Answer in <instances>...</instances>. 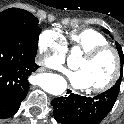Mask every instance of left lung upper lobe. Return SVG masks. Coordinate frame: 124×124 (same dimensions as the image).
<instances>
[{
  "label": "left lung upper lobe",
  "mask_w": 124,
  "mask_h": 124,
  "mask_svg": "<svg viewBox=\"0 0 124 124\" xmlns=\"http://www.w3.org/2000/svg\"><path fill=\"white\" fill-rule=\"evenodd\" d=\"M104 32L105 33H109L108 30L104 29ZM116 48L118 50V53H119V56H120V61H121V66L123 65L124 63V55H123V51H122V48L121 46L119 45V43L116 42ZM122 76H123V73L121 71V75H120V78L117 80L116 84L114 85V87H117L120 89V84H121V79H122Z\"/></svg>",
  "instance_id": "left-lung-upper-lobe-1"
}]
</instances>
